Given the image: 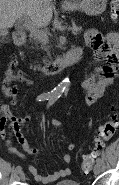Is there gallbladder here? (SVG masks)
<instances>
[{
    "label": "gallbladder",
    "mask_w": 119,
    "mask_h": 185,
    "mask_svg": "<svg viewBox=\"0 0 119 185\" xmlns=\"http://www.w3.org/2000/svg\"><path fill=\"white\" fill-rule=\"evenodd\" d=\"M7 35H8V31L6 29H0V37H6Z\"/></svg>",
    "instance_id": "obj_1"
}]
</instances>
